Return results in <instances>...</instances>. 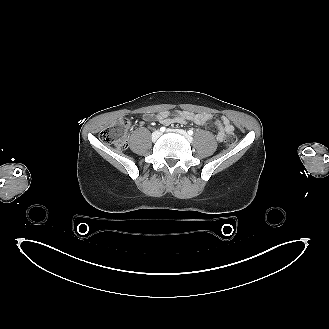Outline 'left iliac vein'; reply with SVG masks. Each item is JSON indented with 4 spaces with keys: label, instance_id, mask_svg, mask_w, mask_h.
I'll return each instance as SVG.
<instances>
[{
    "label": "left iliac vein",
    "instance_id": "left-iliac-vein-1",
    "mask_svg": "<svg viewBox=\"0 0 329 329\" xmlns=\"http://www.w3.org/2000/svg\"><path fill=\"white\" fill-rule=\"evenodd\" d=\"M176 132L185 136L188 141H191V137L184 130H176Z\"/></svg>",
    "mask_w": 329,
    "mask_h": 329
}]
</instances>
